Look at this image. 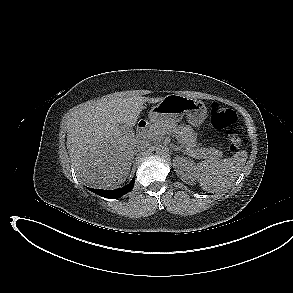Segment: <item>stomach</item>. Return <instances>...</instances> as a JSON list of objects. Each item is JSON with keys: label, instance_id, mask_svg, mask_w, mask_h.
Returning <instances> with one entry per match:
<instances>
[{"label": "stomach", "instance_id": "obj_1", "mask_svg": "<svg viewBox=\"0 0 293 293\" xmlns=\"http://www.w3.org/2000/svg\"><path fill=\"white\" fill-rule=\"evenodd\" d=\"M186 116L192 126L201 125L207 117L205 104L190 97L172 94L164 97L157 105L149 111L150 123L161 122L175 123Z\"/></svg>", "mask_w": 293, "mask_h": 293}]
</instances>
